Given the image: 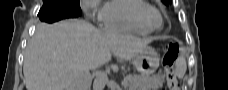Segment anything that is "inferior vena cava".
<instances>
[{
  "mask_svg": "<svg viewBox=\"0 0 228 90\" xmlns=\"http://www.w3.org/2000/svg\"><path fill=\"white\" fill-rule=\"evenodd\" d=\"M91 79L89 71H81L77 73L72 81L73 90H89Z\"/></svg>",
  "mask_w": 228,
  "mask_h": 90,
  "instance_id": "obj_1",
  "label": "inferior vena cava"
}]
</instances>
